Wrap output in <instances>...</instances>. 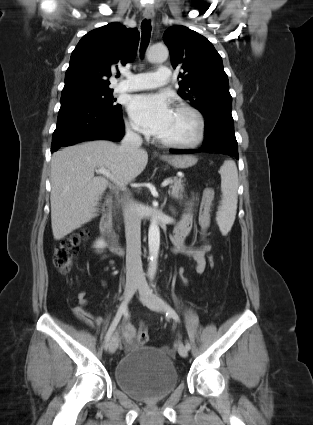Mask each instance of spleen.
<instances>
[{
	"label": "spleen",
	"mask_w": 313,
	"mask_h": 425,
	"mask_svg": "<svg viewBox=\"0 0 313 425\" xmlns=\"http://www.w3.org/2000/svg\"><path fill=\"white\" fill-rule=\"evenodd\" d=\"M221 175L222 201L216 214V221L223 235L234 223L238 202V171L233 160L224 161L219 171Z\"/></svg>",
	"instance_id": "1"
}]
</instances>
